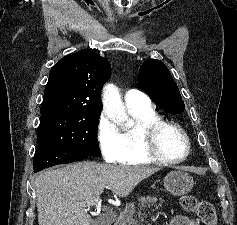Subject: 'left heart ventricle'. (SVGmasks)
<instances>
[{
	"mask_svg": "<svg viewBox=\"0 0 237 225\" xmlns=\"http://www.w3.org/2000/svg\"><path fill=\"white\" fill-rule=\"evenodd\" d=\"M160 149L168 158H179L185 154L186 145L182 136L169 128L160 134Z\"/></svg>",
	"mask_w": 237,
	"mask_h": 225,
	"instance_id": "obj_1",
	"label": "left heart ventricle"
}]
</instances>
